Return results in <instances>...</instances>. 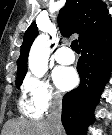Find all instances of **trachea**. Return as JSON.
<instances>
[{
    "instance_id": "trachea-1",
    "label": "trachea",
    "mask_w": 112,
    "mask_h": 135,
    "mask_svg": "<svg viewBox=\"0 0 112 135\" xmlns=\"http://www.w3.org/2000/svg\"><path fill=\"white\" fill-rule=\"evenodd\" d=\"M71 48L73 49V51H75L76 53H80V50H79V45H78V41L77 40H74L72 41L71 43Z\"/></svg>"
}]
</instances>
